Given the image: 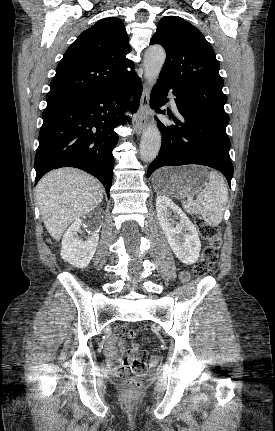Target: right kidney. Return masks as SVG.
<instances>
[{"label": "right kidney", "instance_id": "obj_1", "mask_svg": "<svg viewBox=\"0 0 275 431\" xmlns=\"http://www.w3.org/2000/svg\"><path fill=\"white\" fill-rule=\"evenodd\" d=\"M83 220L76 219L66 230L62 238L61 257L64 261L77 268H86L92 260L99 241V230L90 233L86 241L78 238L77 232Z\"/></svg>", "mask_w": 275, "mask_h": 431}]
</instances>
